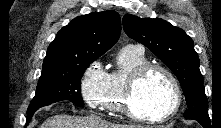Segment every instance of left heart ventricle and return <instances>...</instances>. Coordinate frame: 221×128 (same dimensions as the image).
I'll return each instance as SVG.
<instances>
[{
	"label": "left heart ventricle",
	"instance_id": "obj_1",
	"mask_svg": "<svg viewBox=\"0 0 221 128\" xmlns=\"http://www.w3.org/2000/svg\"><path fill=\"white\" fill-rule=\"evenodd\" d=\"M172 99L168 78L160 71H153L138 86L133 103L143 114L158 115L165 112Z\"/></svg>",
	"mask_w": 221,
	"mask_h": 128
}]
</instances>
